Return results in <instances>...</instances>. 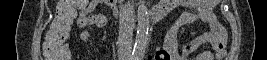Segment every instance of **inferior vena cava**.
I'll use <instances>...</instances> for the list:
<instances>
[{"mask_svg":"<svg viewBox=\"0 0 267 60\" xmlns=\"http://www.w3.org/2000/svg\"><path fill=\"white\" fill-rule=\"evenodd\" d=\"M120 31L126 36L130 37L132 35L133 21L130 19V10L126 6L121 7L120 19H119ZM129 53V50H125Z\"/></svg>","mask_w":267,"mask_h":60,"instance_id":"inferior-vena-cava-1","label":"inferior vena cava"}]
</instances>
